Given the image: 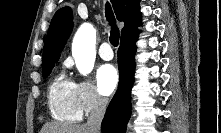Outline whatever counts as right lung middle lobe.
Masks as SVG:
<instances>
[{
    "mask_svg": "<svg viewBox=\"0 0 221 133\" xmlns=\"http://www.w3.org/2000/svg\"><path fill=\"white\" fill-rule=\"evenodd\" d=\"M54 65H55V63H51V64H47L42 67L43 78H46L48 75H50Z\"/></svg>",
    "mask_w": 221,
    "mask_h": 133,
    "instance_id": "obj_1",
    "label": "right lung middle lobe"
}]
</instances>
